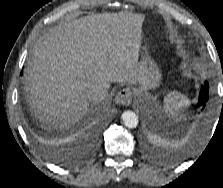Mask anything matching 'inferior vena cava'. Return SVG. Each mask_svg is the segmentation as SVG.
<instances>
[{
  "label": "inferior vena cava",
  "mask_w": 223,
  "mask_h": 188,
  "mask_svg": "<svg viewBox=\"0 0 223 188\" xmlns=\"http://www.w3.org/2000/svg\"><path fill=\"white\" fill-rule=\"evenodd\" d=\"M107 95L108 87L106 84L95 85L87 92L89 100L94 103L103 101L107 97Z\"/></svg>",
  "instance_id": "602c4592"
}]
</instances>
